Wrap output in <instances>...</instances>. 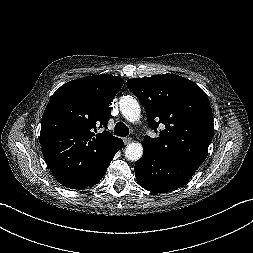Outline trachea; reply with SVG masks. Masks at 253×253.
<instances>
[{"label":"trachea","instance_id":"trachea-1","mask_svg":"<svg viewBox=\"0 0 253 253\" xmlns=\"http://www.w3.org/2000/svg\"><path fill=\"white\" fill-rule=\"evenodd\" d=\"M114 134L117 136L126 137L129 135V128L123 122H118L115 125Z\"/></svg>","mask_w":253,"mask_h":253}]
</instances>
